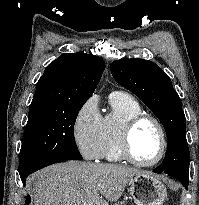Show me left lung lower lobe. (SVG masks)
<instances>
[{"label":"left lung lower lobe","mask_w":199,"mask_h":205,"mask_svg":"<svg viewBox=\"0 0 199 205\" xmlns=\"http://www.w3.org/2000/svg\"><path fill=\"white\" fill-rule=\"evenodd\" d=\"M155 172V171H154ZM157 173V172H156ZM159 174V173H158ZM180 182H181V184L186 188V189H188V180H186V179H182V178H179L178 179Z\"/></svg>","instance_id":"0a47b994"}]
</instances>
